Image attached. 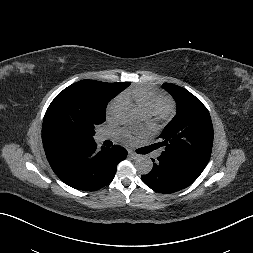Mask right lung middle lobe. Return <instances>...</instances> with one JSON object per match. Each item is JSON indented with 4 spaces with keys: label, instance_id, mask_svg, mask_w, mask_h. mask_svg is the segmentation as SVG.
<instances>
[{
    "label": "right lung middle lobe",
    "instance_id": "right-lung-middle-lobe-1",
    "mask_svg": "<svg viewBox=\"0 0 253 253\" xmlns=\"http://www.w3.org/2000/svg\"><path fill=\"white\" fill-rule=\"evenodd\" d=\"M128 83H74L51 102L42 125L43 146L79 147L94 143L95 127L106 119L108 102Z\"/></svg>",
    "mask_w": 253,
    "mask_h": 253
}]
</instances>
